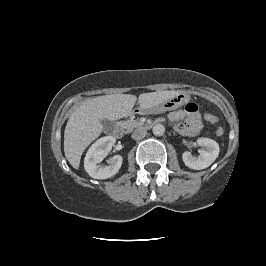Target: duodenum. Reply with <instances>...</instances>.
I'll return each mask as SVG.
<instances>
[{
	"label": "duodenum",
	"mask_w": 266,
	"mask_h": 266,
	"mask_svg": "<svg viewBox=\"0 0 266 266\" xmlns=\"http://www.w3.org/2000/svg\"><path fill=\"white\" fill-rule=\"evenodd\" d=\"M137 113H138L137 111L133 112V114H137ZM123 134H124V125H123V123L119 122L115 126L114 135L117 138H120L123 136Z\"/></svg>",
	"instance_id": "obj_1"
}]
</instances>
